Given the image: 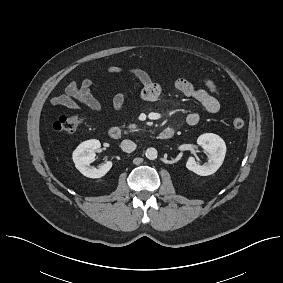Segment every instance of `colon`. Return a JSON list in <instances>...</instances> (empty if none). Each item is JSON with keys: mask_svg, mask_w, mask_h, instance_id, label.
I'll return each instance as SVG.
<instances>
[{"mask_svg": "<svg viewBox=\"0 0 283 283\" xmlns=\"http://www.w3.org/2000/svg\"><path fill=\"white\" fill-rule=\"evenodd\" d=\"M83 122L84 116L82 114L63 115L54 122L53 129L60 134H72L78 130ZM244 125L245 122L241 118L233 120V127L237 130L242 129Z\"/></svg>", "mask_w": 283, "mask_h": 283, "instance_id": "obj_1", "label": "colon"}]
</instances>
